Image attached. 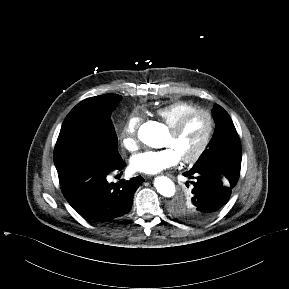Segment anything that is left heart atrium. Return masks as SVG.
<instances>
[{
    "mask_svg": "<svg viewBox=\"0 0 289 289\" xmlns=\"http://www.w3.org/2000/svg\"><path fill=\"white\" fill-rule=\"evenodd\" d=\"M181 158L172 147L147 150L131 158L132 170L144 174H156L179 163Z\"/></svg>",
    "mask_w": 289,
    "mask_h": 289,
    "instance_id": "obj_1",
    "label": "left heart atrium"
}]
</instances>
